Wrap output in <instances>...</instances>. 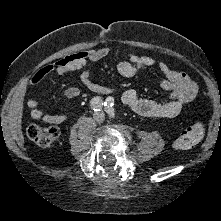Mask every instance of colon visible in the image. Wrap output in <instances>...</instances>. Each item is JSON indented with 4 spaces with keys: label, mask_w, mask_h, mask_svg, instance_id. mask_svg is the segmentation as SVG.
Here are the masks:
<instances>
[{
    "label": "colon",
    "mask_w": 221,
    "mask_h": 221,
    "mask_svg": "<svg viewBox=\"0 0 221 221\" xmlns=\"http://www.w3.org/2000/svg\"><path fill=\"white\" fill-rule=\"evenodd\" d=\"M204 125L197 120L186 128L174 141L173 146L178 150H187L197 145L204 136ZM59 130L53 126L31 125L27 129L28 137L41 147L53 145L58 137Z\"/></svg>",
    "instance_id": "colon-1"
}]
</instances>
